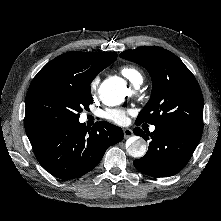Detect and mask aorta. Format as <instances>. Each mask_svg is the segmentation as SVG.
Instances as JSON below:
<instances>
[{"label":"aorta","instance_id":"aorta-1","mask_svg":"<svg viewBox=\"0 0 221 221\" xmlns=\"http://www.w3.org/2000/svg\"><path fill=\"white\" fill-rule=\"evenodd\" d=\"M101 99L107 105H116L123 101L127 93L125 84L107 79L102 82L99 89ZM127 152L134 158H141L146 154V141L138 136L131 137L126 145Z\"/></svg>","mask_w":221,"mask_h":221}]
</instances>
